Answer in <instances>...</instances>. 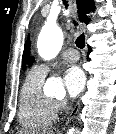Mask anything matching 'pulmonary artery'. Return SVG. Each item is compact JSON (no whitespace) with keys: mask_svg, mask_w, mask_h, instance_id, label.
<instances>
[{"mask_svg":"<svg viewBox=\"0 0 116 134\" xmlns=\"http://www.w3.org/2000/svg\"><path fill=\"white\" fill-rule=\"evenodd\" d=\"M63 60L67 62H76L79 60L80 56L79 53L75 49H68L62 53ZM49 64L48 63H40L35 66V68L44 74H46L49 70Z\"/></svg>","mask_w":116,"mask_h":134,"instance_id":"e3ab8cb5","label":"pulmonary artery"}]
</instances>
